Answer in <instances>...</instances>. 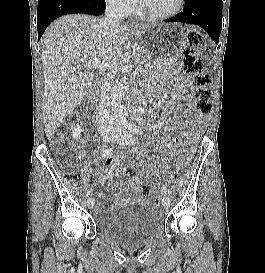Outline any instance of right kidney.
Returning <instances> with one entry per match:
<instances>
[{
  "instance_id": "obj_1",
  "label": "right kidney",
  "mask_w": 265,
  "mask_h": 273,
  "mask_svg": "<svg viewBox=\"0 0 265 273\" xmlns=\"http://www.w3.org/2000/svg\"><path fill=\"white\" fill-rule=\"evenodd\" d=\"M80 135H81V128H80V126L78 125L77 127H75V128L73 129L72 137H73L74 139H78Z\"/></svg>"
}]
</instances>
